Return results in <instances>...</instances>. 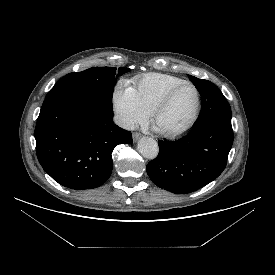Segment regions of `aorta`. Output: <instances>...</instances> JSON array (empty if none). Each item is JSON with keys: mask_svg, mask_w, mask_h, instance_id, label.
<instances>
[{"mask_svg": "<svg viewBox=\"0 0 275 275\" xmlns=\"http://www.w3.org/2000/svg\"><path fill=\"white\" fill-rule=\"evenodd\" d=\"M137 148L142 156L147 159L156 158L159 152L157 142L153 138L149 137H143L142 139H140Z\"/></svg>", "mask_w": 275, "mask_h": 275, "instance_id": "762f6f07", "label": "aorta"}]
</instances>
